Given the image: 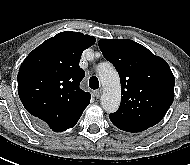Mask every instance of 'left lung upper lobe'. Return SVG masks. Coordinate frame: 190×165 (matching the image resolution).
<instances>
[{"mask_svg":"<svg viewBox=\"0 0 190 165\" xmlns=\"http://www.w3.org/2000/svg\"><path fill=\"white\" fill-rule=\"evenodd\" d=\"M99 48L119 73L121 103L109 115L120 122L149 128L174 100V75L165 60L129 39H101Z\"/></svg>","mask_w":190,"mask_h":165,"instance_id":"1","label":"left lung upper lobe"}]
</instances>
